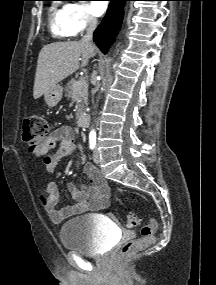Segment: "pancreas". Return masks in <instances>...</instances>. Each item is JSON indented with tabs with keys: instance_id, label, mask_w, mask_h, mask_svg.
Segmentation results:
<instances>
[{
	"instance_id": "cf45deb5",
	"label": "pancreas",
	"mask_w": 216,
	"mask_h": 285,
	"mask_svg": "<svg viewBox=\"0 0 216 285\" xmlns=\"http://www.w3.org/2000/svg\"><path fill=\"white\" fill-rule=\"evenodd\" d=\"M74 82H76L75 79H71L65 88V96L68 99H72L74 94L77 95L76 99V117L79 118L80 115L83 114L85 111V107L87 106V100H88V84L85 79H83L82 85L78 88H74Z\"/></svg>"
}]
</instances>
